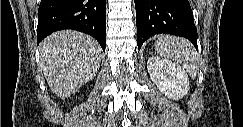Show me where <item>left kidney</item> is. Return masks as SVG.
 <instances>
[{"mask_svg":"<svg viewBox=\"0 0 243 127\" xmlns=\"http://www.w3.org/2000/svg\"><path fill=\"white\" fill-rule=\"evenodd\" d=\"M147 68L152 81L168 98L179 100L187 94L189 79L180 65L152 57L147 62Z\"/></svg>","mask_w":243,"mask_h":127,"instance_id":"obj_1","label":"left kidney"}]
</instances>
